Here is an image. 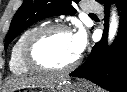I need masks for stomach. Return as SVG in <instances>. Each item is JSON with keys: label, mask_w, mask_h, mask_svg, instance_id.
<instances>
[{"label": "stomach", "mask_w": 127, "mask_h": 92, "mask_svg": "<svg viewBox=\"0 0 127 92\" xmlns=\"http://www.w3.org/2000/svg\"><path fill=\"white\" fill-rule=\"evenodd\" d=\"M45 92H92L88 82L79 80L75 83H62L48 88Z\"/></svg>", "instance_id": "0dacf381"}]
</instances>
